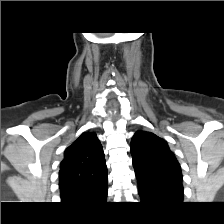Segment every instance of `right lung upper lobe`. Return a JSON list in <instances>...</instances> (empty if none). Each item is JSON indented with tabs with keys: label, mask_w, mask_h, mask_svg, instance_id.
Here are the masks:
<instances>
[{
	"label": "right lung upper lobe",
	"mask_w": 224,
	"mask_h": 224,
	"mask_svg": "<svg viewBox=\"0 0 224 224\" xmlns=\"http://www.w3.org/2000/svg\"><path fill=\"white\" fill-rule=\"evenodd\" d=\"M59 187L64 203L95 201L107 190V167L100 141L83 133L64 153Z\"/></svg>",
	"instance_id": "right-lung-upper-lobe-1"
}]
</instances>
